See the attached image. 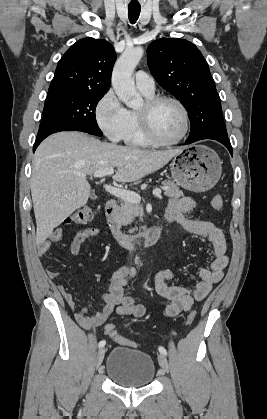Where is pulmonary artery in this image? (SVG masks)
Wrapping results in <instances>:
<instances>
[{
  "label": "pulmonary artery",
  "instance_id": "pulmonary-artery-1",
  "mask_svg": "<svg viewBox=\"0 0 267 419\" xmlns=\"http://www.w3.org/2000/svg\"><path fill=\"white\" fill-rule=\"evenodd\" d=\"M135 83L137 88L146 94H154L155 92V81L154 79L144 71H138L135 74Z\"/></svg>",
  "mask_w": 267,
  "mask_h": 419
}]
</instances>
